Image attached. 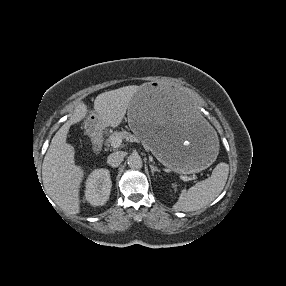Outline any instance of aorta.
Returning a JSON list of instances; mask_svg holds the SVG:
<instances>
[{
	"instance_id": "762f6f07",
	"label": "aorta",
	"mask_w": 286,
	"mask_h": 286,
	"mask_svg": "<svg viewBox=\"0 0 286 286\" xmlns=\"http://www.w3.org/2000/svg\"><path fill=\"white\" fill-rule=\"evenodd\" d=\"M127 162L132 169H140L143 166L142 159L139 155H130Z\"/></svg>"
}]
</instances>
